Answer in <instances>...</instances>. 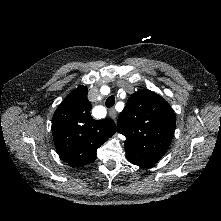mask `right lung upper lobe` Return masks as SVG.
Returning a JSON list of instances; mask_svg holds the SVG:
<instances>
[{
  "mask_svg": "<svg viewBox=\"0 0 221 221\" xmlns=\"http://www.w3.org/2000/svg\"><path fill=\"white\" fill-rule=\"evenodd\" d=\"M87 92L86 86H78L59 105L52 119L56 150L73 167L93 162L97 149L116 132L112 119L92 118Z\"/></svg>",
  "mask_w": 221,
  "mask_h": 221,
  "instance_id": "1",
  "label": "right lung upper lobe"
}]
</instances>
